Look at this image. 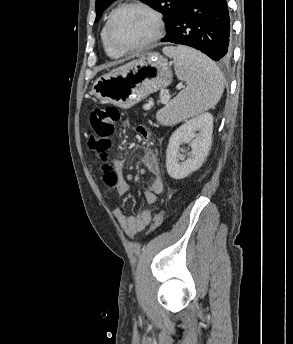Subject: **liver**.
<instances>
[{
  "label": "liver",
  "instance_id": "obj_1",
  "mask_svg": "<svg viewBox=\"0 0 293 344\" xmlns=\"http://www.w3.org/2000/svg\"><path fill=\"white\" fill-rule=\"evenodd\" d=\"M134 62H135V61L129 62V63H127L126 65H123V66H121V67H119V68H117V69H113L111 72H115V71H118V70H121V69H125V68H127V67H130L131 65H133Z\"/></svg>",
  "mask_w": 293,
  "mask_h": 344
}]
</instances>
